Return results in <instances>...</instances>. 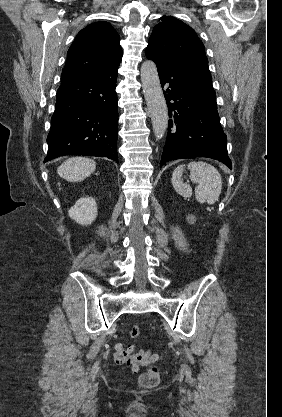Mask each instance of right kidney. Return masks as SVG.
<instances>
[{"instance_id":"obj_1","label":"right kidney","mask_w":282,"mask_h":417,"mask_svg":"<svg viewBox=\"0 0 282 417\" xmlns=\"http://www.w3.org/2000/svg\"><path fill=\"white\" fill-rule=\"evenodd\" d=\"M70 219L79 225H91L96 219L97 204L92 196H81L68 211Z\"/></svg>"}]
</instances>
